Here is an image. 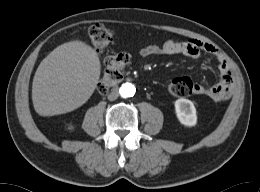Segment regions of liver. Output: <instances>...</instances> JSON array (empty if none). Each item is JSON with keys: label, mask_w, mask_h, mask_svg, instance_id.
Listing matches in <instances>:
<instances>
[{"label": "liver", "mask_w": 260, "mask_h": 192, "mask_svg": "<svg viewBox=\"0 0 260 192\" xmlns=\"http://www.w3.org/2000/svg\"><path fill=\"white\" fill-rule=\"evenodd\" d=\"M101 73L96 51L74 40L55 48L38 66L32 83V101L41 116L71 112L93 94Z\"/></svg>", "instance_id": "obj_1"}]
</instances>
